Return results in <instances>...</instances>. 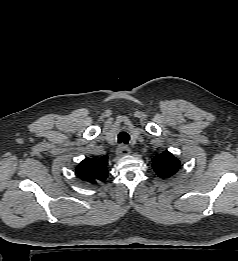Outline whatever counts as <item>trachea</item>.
Here are the masks:
<instances>
[{
    "instance_id": "obj_1",
    "label": "trachea",
    "mask_w": 238,
    "mask_h": 261,
    "mask_svg": "<svg viewBox=\"0 0 238 261\" xmlns=\"http://www.w3.org/2000/svg\"><path fill=\"white\" fill-rule=\"evenodd\" d=\"M129 140H130V136H129V134L127 132L121 131L118 134V142L119 143L128 144Z\"/></svg>"
}]
</instances>
